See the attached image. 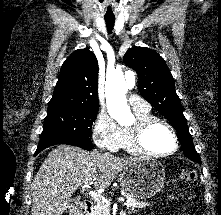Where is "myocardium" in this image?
I'll return each mask as SVG.
<instances>
[{
  "mask_svg": "<svg viewBox=\"0 0 221 215\" xmlns=\"http://www.w3.org/2000/svg\"><path fill=\"white\" fill-rule=\"evenodd\" d=\"M156 124L165 126L171 133L174 140V147L171 151L165 153H157L149 150L145 144V136L147 132ZM130 142L132 148L138 153L154 158H164L174 154L179 147L178 135L173 126L167 121L158 117H149L143 120H137L130 128Z\"/></svg>",
  "mask_w": 221,
  "mask_h": 215,
  "instance_id": "1",
  "label": "myocardium"
}]
</instances>
